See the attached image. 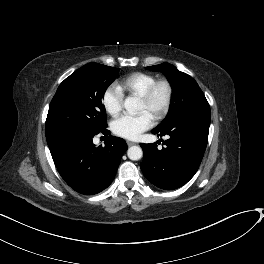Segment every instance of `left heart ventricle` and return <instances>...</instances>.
Listing matches in <instances>:
<instances>
[{
    "instance_id": "left-heart-ventricle-1",
    "label": "left heart ventricle",
    "mask_w": 264,
    "mask_h": 264,
    "mask_svg": "<svg viewBox=\"0 0 264 264\" xmlns=\"http://www.w3.org/2000/svg\"><path fill=\"white\" fill-rule=\"evenodd\" d=\"M165 99V89L162 87L158 90L156 97L154 99V102L152 104H147L144 101H140V111L141 112H149L151 115H153V113L159 109Z\"/></svg>"
}]
</instances>
